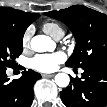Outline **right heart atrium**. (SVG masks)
I'll list each match as a JSON object with an SVG mask.
<instances>
[{"instance_id":"d8ad5b80","label":"right heart atrium","mask_w":107,"mask_h":107,"mask_svg":"<svg viewBox=\"0 0 107 107\" xmlns=\"http://www.w3.org/2000/svg\"><path fill=\"white\" fill-rule=\"evenodd\" d=\"M32 28L29 27L23 34V38H22V45L24 47H28L29 46V43H30V39H31V36H32Z\"/></svg>"}]
</instances>
